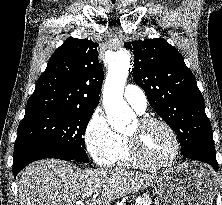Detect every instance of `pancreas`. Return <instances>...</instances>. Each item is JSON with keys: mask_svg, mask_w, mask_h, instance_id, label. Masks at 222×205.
Segmentation results:
<instances>
[{"mask_svg": "<svg viewBox=\"0 0 222 205\" xmlns=\"http://www.w3.org/2000/svg\"><path fill=\"white\" fill-rule=\"evenodd\" d=\"M135 205H151V198L149 196H142Z\"/></svg>", "mask_w": 222, "mask_h": 205, "instance_id": "pancreas-1", "label": "pancreas"}]
</instances>
